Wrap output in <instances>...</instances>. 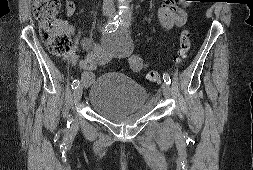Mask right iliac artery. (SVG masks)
Listing matches in <instances>:
<instances>
[{
    "mask_svg": "<svg viewBox=\"0 0 253 170\" xmlns=\"http://www.w3.org/2000/svg\"><path fill=\"white\" fill-rule=\"evenodd\" d=\"M120 24H121V17L119 15H116L113 20H110L105 25V27L103 28V32L104 33L114 32L117 30V28L119 27ZM78 85H79V80L75 79L72 82L71 87H72V89H75V88H77Z\"/></svg>",
    "mask_w": 253,
    "mask_h": 170,
    "instance_id": "82829eb1",
    "label": "right iliac artery"
}]
</instances>
